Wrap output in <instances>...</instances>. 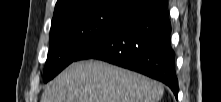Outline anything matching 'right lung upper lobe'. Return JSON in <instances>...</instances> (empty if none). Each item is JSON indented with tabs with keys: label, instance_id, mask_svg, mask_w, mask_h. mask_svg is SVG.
Masks as SVG:
<instances>
[{
	"label": "right lung upper lobe",
	"instance_id": "obj_1",
	"mask_svg": "<svg viewBox=\"0 0 221 102\" xmlns=\"http://www.w3.org/2000/svg\"><path fill=\"white\" fill-rule=\"evenodd\" d=\"M85 0H58L55 5L54 15L78 6ZM137 10L151 0H127Z\"/></svg>",
	"mask_w": 221,
	"mask_h": 102
}]
</instances>
